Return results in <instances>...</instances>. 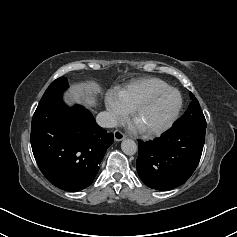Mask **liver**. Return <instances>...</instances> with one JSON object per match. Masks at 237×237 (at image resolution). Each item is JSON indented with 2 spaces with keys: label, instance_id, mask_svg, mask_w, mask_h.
Instances as JSON below:
<instances>
[{
  "label": "liver",
  "instance_id": "1",
  "mask_svg": "<svg viewBox=\"0 0 237 237\" xmlns=\"http://www.w3.org/2000/svg\"><path fill=\"white\" fill-rule=\"evenodd\" d=\"M100 92V86L95 82H81L72 86V98L85 104L87 107H94L96 105V96ZM70 103L69 99H66Z\"/></svg>",
  "mask_w": 237,
  "mask_h": 237
}]
</instances>
